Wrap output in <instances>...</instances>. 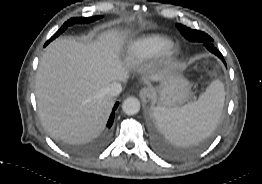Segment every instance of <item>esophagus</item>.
I'll return each instance as SVG.
<instances>
[{
    "mask_svg": "<svg viewBox=\"0 0 262 184\" xmlns=\"http://www.w3.org/2000/svg\"><path fill=\"white\" fill-rule=\"evenodd\" d=\"M140 98L144 103L149 102L152 99L153 91L149 87H144L140 90Z\"/></svg>",
    "mask_w": 262,
    "mask_h": 184,
    "instance_id": "1",
    "label": "esophagus"
}]
</instances>
